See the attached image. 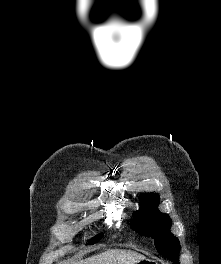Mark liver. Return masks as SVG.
I'll return each mask as SVG.
<instances>
[{
	"mask_svg": "<svg viewBox=\"0 0 221 264\" xmlns=\"http://www.w3.org/2000/svg\"><path fill=\"white\" fill-rule=\"evenodd\" d=\"M145 259V256L133 251L107 250L98 255L80 259L72 264H135Z\"/></svg>",
	"mask_w": 221,
	"mask_h": 264,
	"instance_id": "6515ba94",
	"label": "liver"
}]
</instances>
